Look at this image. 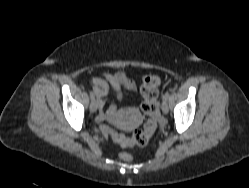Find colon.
Wrapping results in <instances>:
<instances>
[{
	"label": "colon",
	"instance_id": "5ec220e1",
	"mask_svg": "<svg viewBox=\"0 0 249 188\" xmlns=\"http://www.w3.org/2000/svg\"><path fill=\"white\" fill-rule=\"evenodd\" d=\"M161 79L155 75L144 77L141 85L142 111L144 114V125L140 130H136L131 137H126L120 133L113 131L109 126H102L101 131L105 137L112 139L121 146H145L149 139L155 133L159 122V101H158V86ZM120 158L125 161L131 160V155L128 152H121Z\"/></svg>",
	"mask_w": 249,
	"mask_h": 188
}]
</instances>
